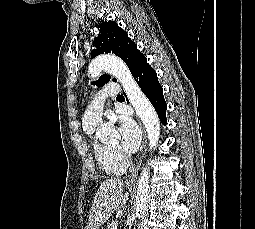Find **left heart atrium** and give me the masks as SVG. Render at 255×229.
I'll use <instances>...</instances> for the list:
<instances>
[{
  "label": "left heart atrium",
  "instance_id": "39dd6f15",
  "mask_svg": "<svg viewBox=\"0 0 255 229\" xmlns=\"http://www.w3.org/2000/svg\"><path fill=\"white\" fill-rule=\"evenodd\" d=\"M118 131L123 150L128 153L135 152L141 142V132L138 125L132 119L122 117L119 121Z\"/></svg>",
  "mask_w": 255,
  "mask_h": 229
}]
</instances>
